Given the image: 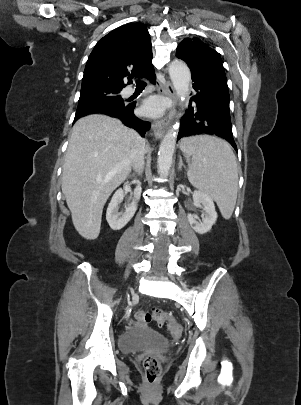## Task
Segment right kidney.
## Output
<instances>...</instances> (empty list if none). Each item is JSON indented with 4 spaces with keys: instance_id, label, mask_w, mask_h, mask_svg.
I'll return each mask as SVG.
<instances>
[{
    "instance_id": "1",
    "label": "right kidney",
    "mask_w": 301,
    "mask_h": 405,
    "mask_svg": "<svg viewBox=\"0 0 301 405\" xmlns=\"http://www.w3.org/2000/svg\"><path fill=\"white\" fill-rule=\"evenodd\" d=\"M141 186H136L133 191V201L125 208V212H119V204L123 201L124 193L122 189H118L107 208L106 220L113 230L122 229L134 216L137 210V201L141 196Z\"/></svg>"
}]
</instances>
